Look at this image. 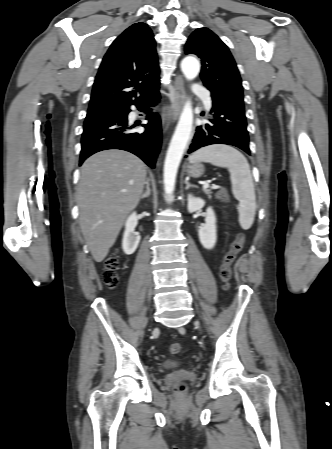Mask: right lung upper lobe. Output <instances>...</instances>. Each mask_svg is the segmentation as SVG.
Here are the masks:
<instances>
[{
    "mask_svg": "<svg viewBox=\"0 0 332 449\" xmlns=\"http://www.w3.org/2000/svg\"><path fill=\"white\" fill-rule=\"evenodd\" d=\"M156 43L150 28L133 24L111 44L95 78L88 114L119 110L159 88Z\"/></svg>",
    "mask_w": 332,
    "mask_h": 449,
    "instance_id": "obj_1",
    "label": "right lung upper lobe"
}]
</instances>
